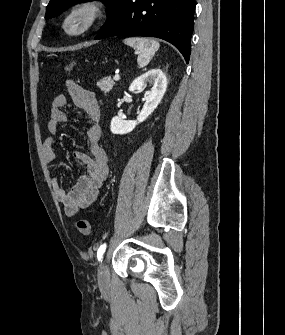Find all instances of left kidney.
Returning a JSON list of instances; mask_svg holds the SVG:
<instances>
[{
	"label": "left kidney",
	"mask_w": 285,
	"mask_h": 335,
	"mask_svg": "<svg viewBox=\"0 0 285 335\" xmlns=\"http://www.w3.org/2000/svg\"><path fill=\"white\" fill-rule=\"evenodd\" d=\"M147 82H150L151 88L147 96H145V104L137 116V120H122L120 116H115L111 120V132L113 134H129L132 132L138 124L145 122L146 118L156 110L158 104H160L167 88V78L163 74L162 70H149L146 74H142L139 78H136L129 86V92H143Z\"/></svg>",
	"instance_id": "5707ae66"
}]
</instances>
